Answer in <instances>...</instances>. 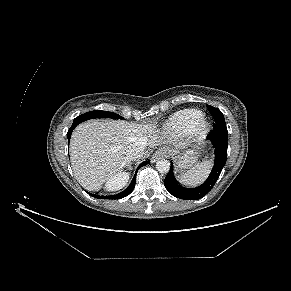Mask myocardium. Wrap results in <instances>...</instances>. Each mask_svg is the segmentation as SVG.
I'll list each match as a JSON object with an SVG mask.
<instances>
[{"mask_svg": "<svg viewBox=\"0 0 291 291\" xmlns=\"http://www.w3.org/2000/svg\"><path fill=\"white\" fill-rule=\"evenodd\" d=\"M210 129V124L209 122L202 120L197 127L194 129L195 134L197 137L199 138H203L204 136H206V134L208 133Z\"/></svg>", "mask_w": 291, "mask_h": 291, "instance_id": "obj_1", "label": "myocardium"}]
</instances>
